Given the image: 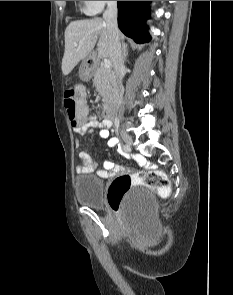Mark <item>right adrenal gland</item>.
Returning a JSON list of instances; mask_svg holds the SVG:
<instances>
[{"label": "right adrenal gland", "instance_id": "obj_1", "mask_svg": "<svg viewBox=\"0 0 233 295\" xmlns=\"http://www.w3.org/2000/svg\"><path fill=\"white\" fill-rule=\"evenodd\" d=\"M122 50H123V59H124V61H126L127 57H128V46L126 44L123 45Z\"/></svg>", "mask_w": 233, "mask_h": 295}]
</instances>
